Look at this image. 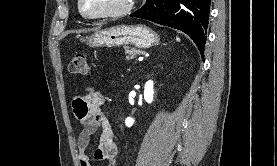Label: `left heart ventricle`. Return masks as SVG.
I'll return each instance as SVG.
<instances>
[{
    "instance_id": "b2bd125f",
    "label": "left heart ventricle",
    "mask_w": 277,
    "mask_h": 166,
    "mask_svg": "<svg viewBox=\"0 0 277 166\" xmlns=\"http://www.w3.org/2000/svg\"><path fill=\"white\" fill-rule=\"evenodd\" d=\"M126 3L127 0H83V7L89 13H99L119 9Z\"/></svg>"
}]
</instances>
